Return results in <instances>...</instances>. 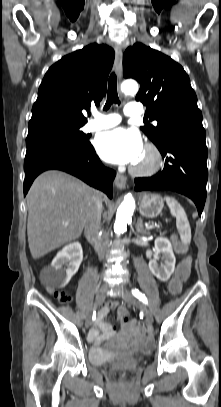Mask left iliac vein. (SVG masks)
Wrapping results in <instances>:
<instances>
[{
    "mask_svg": "<svg viewBox=\"0 0 221 407\" xmlns=\"http://www.w3.org/2000/svg\"><path fill=\"white\" fill-rule=\"evenodd\" d=\"M119 294L121 298L128 304L132 306H136L137 308L141 309L145 315V320L148 324L153 323V315L150 312V310L143 304L141 303L135 296L130 294L128 291H126L123 288L118 289Z\"/></svg>",
    "mask_w": 221,
    "mask_h": 407,
    "instance_id": "4c4485c4",
    "label": "left iliac vein"
}]
</instances>
